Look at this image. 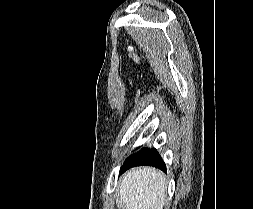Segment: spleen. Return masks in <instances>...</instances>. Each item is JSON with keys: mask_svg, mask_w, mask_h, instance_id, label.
Wrapping results in <instances>:
<instances>
[{"mask_svg": "<svg viewBox=\"0 0 253 209\" xmlns=\"http://www.w3.org/2000/svg\"><path fill=\"white\" fill-rule=\"evenodd\" d=\"M165 192V176L160 171L134 169L121 180L118 205L125 209H163Z\"/></svg>", "mask_w": 253, "mask_h": 209, "instance_id": "obj_1", "label": "spleen"}]
</instances>
